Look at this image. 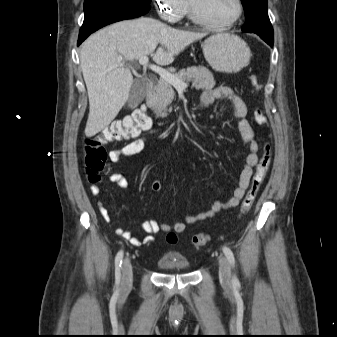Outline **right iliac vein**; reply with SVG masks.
I'll use <instances>...</instances> for the list:
<instances>
[{
	"label": "right iliac vein",
	"instance_id": "1",
	"mask_svg": "<svg viewBox=\"0 0 337 337\" xmlns=\"http://www.w3.org/2000/svg\"><path fill=\"white\" fill-rule=\"evenodd\" d=\"M133 272L132 265L129 258H125L122 265V284L121 296L124 297L128 294L132 286Z\"/></svg>",
	"mask_w": 337,
	"mask_h": 337
}]
</instances>
